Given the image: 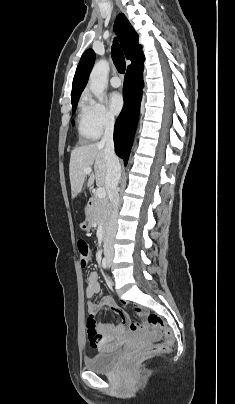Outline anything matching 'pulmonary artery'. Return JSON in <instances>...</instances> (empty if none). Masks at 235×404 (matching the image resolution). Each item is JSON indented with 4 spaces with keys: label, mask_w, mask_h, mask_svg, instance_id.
I'll list each match as a JSON object with an SVG mask.
<instances>
[{
    "label": "pulmonary artery",
    "mask_w": 235,
    "mask_h": 404,
    "mask_svg": "<svg viewBox=\"0 0 235 404\" xmlns=\"http://www.w3.org/2000/svg\"><path fill=\"white\" fill-rule=\"evenodd\" d=\"M110 84H111L112 87L118 88V87L121 86L122 83H121V80L119 79V77L113 76V77L110 79Z\"/></svg>",
    "instance_id": "e3ab8cb5"
}]
</instances>
